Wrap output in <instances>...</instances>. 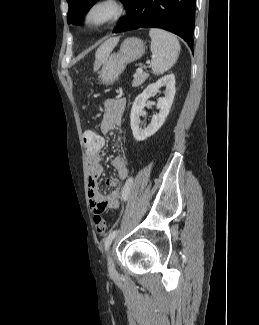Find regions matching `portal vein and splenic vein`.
<instances>
[{
	"instance_id": "portal-vein-and-splenic-vein-1",
	"label": "portal vein and splenic vein",
	"mask_w": 259,
	"mask_h": 325,
	"mask_svg": "<svg viewBox=\"0 0 259 325\" xmlns=\"http://www.w3.org/2000/svg\"><path fill=\"white\" fill-rule=\"evenodd\" d=\"M142 71H143L142 68H138V69H137V72H138V73H141Z\"/></svg>"
}]
</instances>
